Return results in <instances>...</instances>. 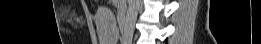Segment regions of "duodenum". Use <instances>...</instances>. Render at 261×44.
I'll return each mask as SVG.
<instances>
[{
  "mask_svg": "<svg viewBox=\"0 0 261 44\" xmlns=\"http://www.w3.org/2000/svg\"><path fill=\"white\" fill-rule=\"evenodd\" d=\"M118 24L120 27L121 32H124V27H125V16H124V11L120 10L118 14Z\"/></svg>",
  "mask_w": 261,
  "mask_h": 44,
  "instance_id": "duodenum-1",
  "label": "duodenum"
}]
</instances>
